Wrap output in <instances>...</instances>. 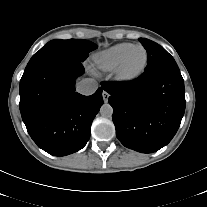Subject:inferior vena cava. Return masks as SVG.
I'll return each instance as SVG.
<instances>
[{
	"label": "inferior vena cava",
	"mask_w": 207,
	"mask_h": 207,
	"mask_svg": "<svg viewBox=\"0 0 207 207\" xmlns=\"http://www.w3.org/2000/svg\"><path fill=\"white\" fill-rule=\"evenodd\" d=\"M97 88L98 84L94 79L85 78L77 84L76 91L82 95H91Z\"/></svg>",
	"instance_id": "602c4592"
}]
</instances>
